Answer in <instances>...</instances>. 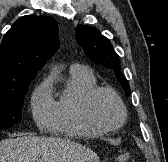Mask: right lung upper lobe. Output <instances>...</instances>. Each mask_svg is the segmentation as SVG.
I'll use <instances>...</instances> for the list:
<instances>
[{
	"instance_id": "cb5924a9",
	"label": "right lung upper lobe",
	"mask_w": 168,
	"mask_h": 162,
	"mask_svg": "<svg viewBox=\"0 0 168 162\" xmlns=\"http://www.w3.org/2000/svg\"><path fill=\"white\" fill-rule=\"evenodd\" d=\"M58 44L53 18L27 15L17 19L0 46V86L33 79Z\"/></svg>"
}]
</instances>
